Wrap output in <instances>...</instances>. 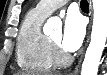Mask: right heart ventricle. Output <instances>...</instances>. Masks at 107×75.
Segmentation results:
<instances>
[{
	"label": "right heart ventricle",
	"mask_w": 107,
	"mask_h": 75,
	"mask_svg": "<svg viewBox=\"0 0 107 75\" xmlns=\"http://www.w3.org/2000/svg\"><path fill=\"white\" fill-rule=\"evenodd\" d=\"M46 16L36 10L24 18L17 38L16 59L19 67L31 72H47L54 67L49 39L41 30Z\"/></svg>",
	"instance_id": "1"
}]
</instances>
